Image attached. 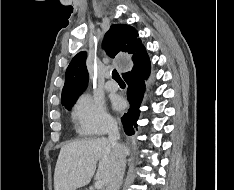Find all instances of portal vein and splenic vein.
<instances>
[{
  "label": "portal vein and splenic vein",
  "instance_id": "1",
  "mask_svg": "<svg viewBox=\"0 0 234 190\" xmlns=\"http://www.w3.org/2000/svg\"><path fill=\"white\" fill-rule=\"evenodd\" d=\"M94 186H95V189L100 190V189H102V187H103V182H102L101 180L98 179V180L95 182Z\"/></svg>",
  "mask_w": 234,
  "mask_h": 190
}]
</instances>
